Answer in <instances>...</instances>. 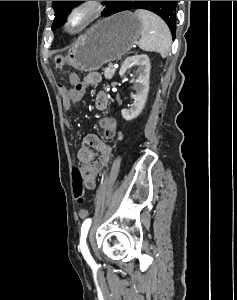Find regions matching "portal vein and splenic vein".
Instances as JSON below:
<instances>
[{"label":"portal vein and splenic vein","instance_id":"portal-vein-and-splenic-vein-1","mask_svg":"<svg viewBox=\"0 0 237 300\" xmlns=\"http://www.w3.org/2000/svg\"><path fill=\"white\" fill-rule=\"evenodd\" d=\"M109 64H110V65H109V68H112V65H111L112 63L110 62Z\"/></svg>","mask_w":237,"mask_h":300}]
</instances>
